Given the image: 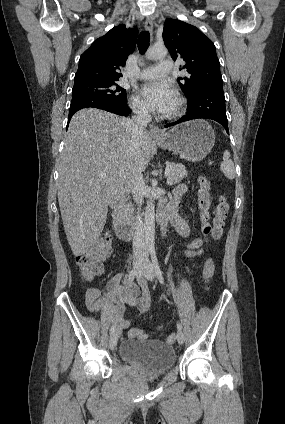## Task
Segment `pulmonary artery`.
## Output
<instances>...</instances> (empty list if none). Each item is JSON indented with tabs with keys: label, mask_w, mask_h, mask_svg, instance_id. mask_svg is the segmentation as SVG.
<instances>
[{
	"label": "pulmonary artery",
	"mask_w": 285,
	"mask_h": 424,
	"mask_svg": "<svg viewBox=\"0 0 285 424\" xmlns=\"http://www.w3.org/2000/svg\"><path fill=\"white\" fill-rule=\"evenodd\" d=\"M173 68V62L169 59L162 60L159 65L151 66L140 71L138 77L141 79H155L168 75Z\"/></svg>",
	"instance_id": "obj_1"
}]
</instances>
